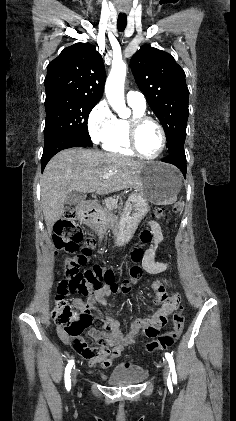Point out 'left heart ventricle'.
Segmentation results:
<instances>
[{"label":"left heart ventricle","instance_id":"obj_1","mask_svg":"<svg viewBox=\"0 0 236 421\" xmlns=\"http://www.w3.org/2000/svg\"><path fill=\"white\" fill-rule=\"evenodd\" d=\"M136 141L139 151L146 155H155L160 148V133L151 122L141 123L136 131Z\"/></svg>","mask_w":236,"mask_h":421}]
</instances>
